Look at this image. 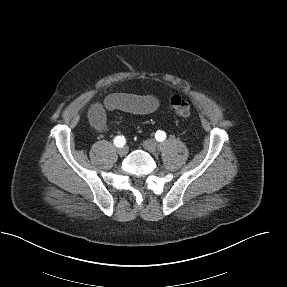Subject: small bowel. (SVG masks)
<instances>
[{
    "instance_id": "1",
    "label": "small bowel",
    "mask_w": 287,
    "mask_h": 287,
    "mask_svg": "<svg viewBox=\"0 0 287 287\" xmlns=\"http://www.w3.org/2000/svg\"><path fill=\"white\" fill-rule=\"evenodd\" d=\"M159 106L158 98L153 95L114 93L102 103H93L88 111V119L92 128L97 133L102 134L108 129L107 112L123 111L136 115H146L155 112Z\"/></svg>"
}]
</instances>
